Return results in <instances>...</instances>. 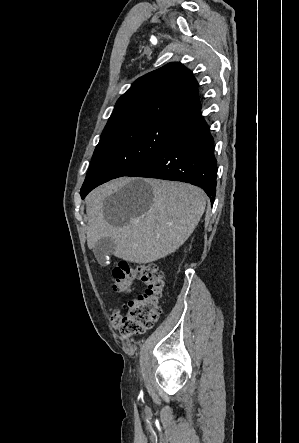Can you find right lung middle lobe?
I'll return each instance as SVG.
<instances>
[{
    "label": "right lung middle lobe",
    "instance_id": "obj_1",
    "mask_svg": "<svg viewBox=\"0 0 299 443\" xmlns=\"http://www.w3.org/2000/svg\"><path fill=\"white\" fill-rule=\"evenodd\" d=\"M181 124L177 120L144 119L102 134L81 188L82 198L100 184L145 163L173 139Z\"/></svg>",
    "mask_w": 299,
    "mask_h": 443
}]
</instances>
